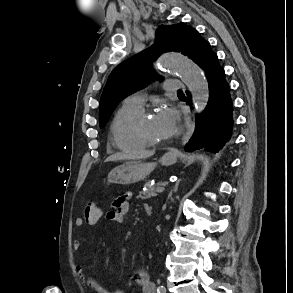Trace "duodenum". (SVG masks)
Listing matches in <instances>:
<instances>
[{
	"mask_svg": "<svg viewBox=\"0 0 293 293\" xmlns=\"http://www.w3.org/2000/svg\"><path fill=\"white\" fill-rule=\"evenodd\" d=\"M145 212L147 215H151L152 214V207L151 206H146L145 207Z\"/></svg>",
	"mask_w": 293,
	"mask_h": 293,
	"instance_id": "obj_1",
	"label": "duodenum"
}]
</instances>
